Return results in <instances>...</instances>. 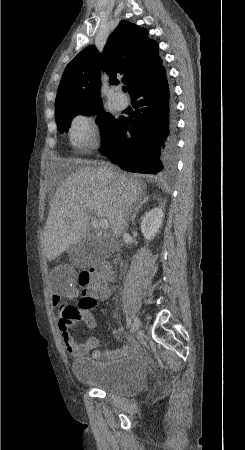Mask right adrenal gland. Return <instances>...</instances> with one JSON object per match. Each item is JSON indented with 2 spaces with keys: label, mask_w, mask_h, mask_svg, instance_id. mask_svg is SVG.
Instances as JSON below:
<instances>
[{
  "label": "right adrenal gland",
  "mask_w": 245,
  "mask_h": 450,
  "mask_svg": "<svg viewBox=\"0 0 245 450\" xmlns=\"http://www.w3.org/2000/svg\"><path fill=\"white\" fill-rule=\"evenodd\" d=\"M148 196H141L137 202L135 203L136 207L134 208V212L131 216V220L134 221L136 215L139 213L140 208L148 201Z\"/></svg>",
  "instance_id": "right-adrenal-gland-1"
}]
</instances>
